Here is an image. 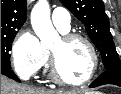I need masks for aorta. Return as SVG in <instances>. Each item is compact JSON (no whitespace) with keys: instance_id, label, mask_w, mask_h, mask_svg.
<instances>
[{"instance_id":"1","label":"aorta","mask_w":121,"mask_h":94,"mask_svg":"<svg viewBox=\"0 0 121 94\" xmlns=\"http://www.w3.org/2000/svg\"><path fill=\"white\" fill-rule=\"evenodd\" d=\"M31 25L35 34L40 38L43 48H50L59 38L50 19V6L47 0H39L33 7Z\"/></svg>"}]
</instances>
